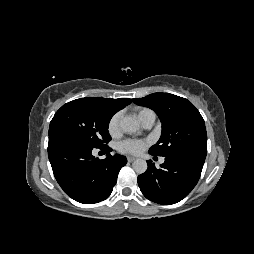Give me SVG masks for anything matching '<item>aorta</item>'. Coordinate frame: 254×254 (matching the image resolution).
Listing matches in <instances>:
<instances>
[{
  "mask_svg": "<svg viewBox=\"0 0 254 254\" xmlns=\"http://www.w3.org/2000/svg\"><path fill=\"white\" fill-rule=\"evenodd\" d=\"M123 132L131 134L139 130L138 122L130 117H125L120 122ZM133 170L138 174H143L147 170V162L144 159H136L132 164Z\"/></svg>",
  "mask_w": 254,
  "mask_h": 254,
  "instance_id": "762f6f07",
  "label": "aorta"
}]
</instances>
